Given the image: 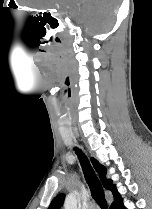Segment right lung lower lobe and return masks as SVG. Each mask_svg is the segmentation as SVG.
Masks as SVG:
<instances>
[{
	"mask_svg": "<svg viewBox=\"0 0 152 209\" xmlns=\"http://www.w3.org/2000/svg\"><path fill=\"white\" fill-rule=\"evenodd\" d=\"M113 197H114V202L111 204L110 209H127L123 205L122 198L117 190L113 193Z\"/></svg>",
	"mask_w": 152,
	"mask_h": 209,
	"instance_id": "1",
	"label": "right lung lower lobe"
}]
</instances>
